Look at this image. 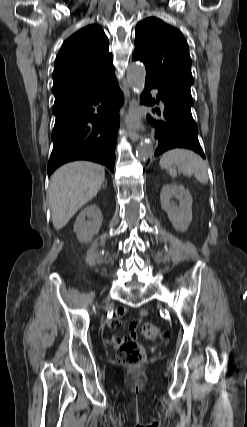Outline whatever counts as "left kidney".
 Instances as JSON below:
<instances>
[{
  "label": "left kidney",
  "instance_id": "1",
  "mask_svg": "<svg viewBox=\"0 0 247 427\" xmlns=\"http://www.w3.org/2000/svg\"><path fill=\"white\" fill-rule=\"evenodd\" d=\"M172 198L178 199L179 206L171 202ZM160 202L174 229L185 232L192 221L193 199L190 192L181 185L166 184L160 192Z\"/></svg>",
  "mask_w": 247,
  "mask_h": 427
}]
</instances>
